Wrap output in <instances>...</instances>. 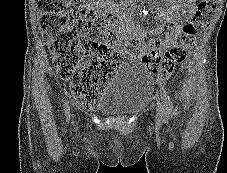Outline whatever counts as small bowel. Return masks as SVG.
I'll use <instances>...</instances> for the list:
<instances>
[{
	"mask_svg": "<svg viewBox=\"0 0 227 173\" xmlns=\"http://www.w3.org/2000/svg\"><path fill=\"white\" fill-rule=\"evenodd\" d=\"M167 4L166 8L160 10L158 19L162 22V26L157 30L163 36V40L152 39L150 43L157 41L160 44L168 47L172 45L181 34L180 21L182 19L189 20L192 16L197 0H161ZM97 6H100L97 3ZM121 38L115 49L120 55H130L137 57L130 53L129 43L133 40L143 42L145 31L139 25L133 23L129 17L123 15L120 18Z\"/></svg>",
	"mask_w": 227,
	"mask_h": 173,
	"instance_id": "small-bowel-1",
	"label": "small bowel"
}]
</instances>
